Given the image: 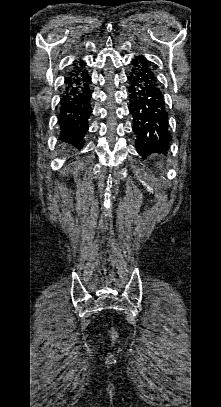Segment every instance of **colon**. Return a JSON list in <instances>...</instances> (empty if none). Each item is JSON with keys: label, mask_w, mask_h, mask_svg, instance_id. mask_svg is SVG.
Segmentation results:
<instances>
[{"label": "colon", "mask_w": 221, "mask_h": 407, "mask_svg": "<svg viewBox=\"0 0 221 407\" xmlns=\"http://www.w3.org/2000/svg\"><path fill=\"white\" fill-rule=\"evenodd\" d=\"M109 332L111 333V335H112L113 337L116 336V333H115V331H114L113 329H109Z\"/></svg>", "instance_id": "obj_1"}]
</instances>
